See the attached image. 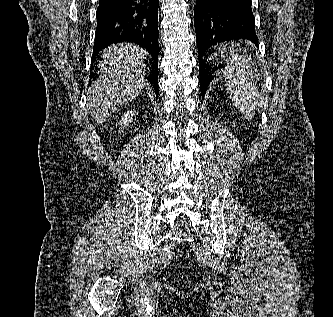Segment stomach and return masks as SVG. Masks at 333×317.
<instances>
[{
  "instance_id": "obj_1",
  "label": "stomach",
  "mask_w": 333,
  "mask_h": 317,
  "mask_svg": "<svg viewBox=\"0 0 333 317\" xmlns=\"http://www.w3.org/2000/svg\"><path fill=\"white\" fill-rule=\"evenodd\" d=\"M215 51L219 52V55H211V62H233V69L237 68L238 62H251V55H241L242 45H237L236 41H225L224 45H216ZM222 74L224 71H220L219 82H255V81H222Z\"/></svg>"
}]
</instances>
